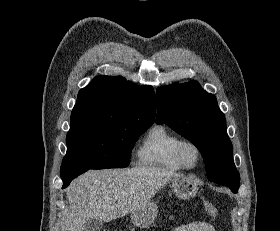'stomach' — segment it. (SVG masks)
Here are the masks:
<instances>
[{"instance_id": "0dacf381", "label": "stomach", "mask_w": 280, "mask_h": 231, "mask_svg": "<svg viewBox=\"0 0 280 231\" xmlns=\"http://www.w3.org/2000/svg\"><path fill=\"white\" fill-rule=\"evenodd\" d=\"M170 187L180 199H190L194 197L198 191V181L192 175H179V177H172L169 181ZM158 213V205L155 201H147L144 207L134 209L131 213V221L137 227H149L153 223Z\"/></svg>"}]
</instances>
